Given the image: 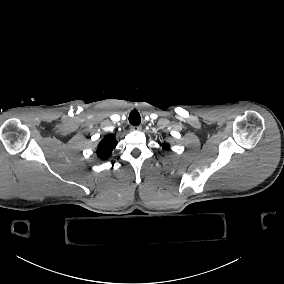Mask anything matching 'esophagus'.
<instances>
[{
  "label": "esophagus",
  "instance_id": "1",
  "mask_svg": "<svg viewBox=\"0 0 284 284\" xmlns=\"http://www.w3.org/2000/svg\"><path fill=\"white\" fill-rule=\"evenodd\" d=\"M130 130L131 131H140L141 130V126L137 125V126H130Z\"/></svg>",
  "mask_w": 284,
  "mask_h": 284
}]
</instances>
